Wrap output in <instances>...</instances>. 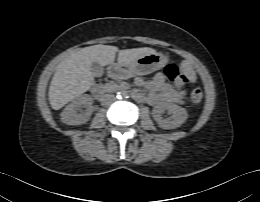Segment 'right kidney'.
<instances>
[{"instance_id": "ca27d5eb", "label": "right kidney", "mask_w": 260, "mask_h": 202, "mask_svg": "<svg viewBox=\"0 0 260 202\" xmlns=\"http://www.w3.org/2000/svg\"><path fill=\"white\" fill-rule=\"evenodd\" d=\"M91 96L85 94L75 98L61 113V121L67 125H80L87 122L92 114ZM85 107V110L80 107Z\"/></svg>"}]
</instances>
